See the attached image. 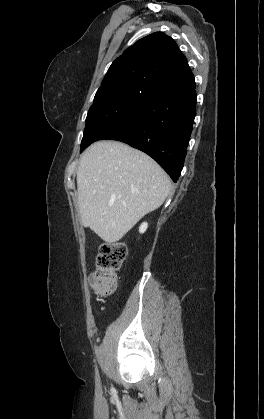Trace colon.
<instances>
[{"label": "colon", "mask_w": 264, "mask_h": 419, "mask_svg": "<svg viewBox=\"0 0 264 419\" xmlns=\"http://www.w3.org/2000/svg\"><path fill=\"white\" fill-rule=\"evenodd\" d=\"M127 254L123 243H105L98 250L96 269L90 277L93 291L101 296L114 292L117 282V271L122 266Z\"/></svg>", "instance_id": "obj_1"}]
</instances>
